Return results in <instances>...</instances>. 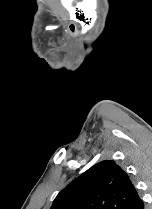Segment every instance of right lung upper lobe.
<instances>
[{"mask_svg": "<svg viewBox=\"0 0 152 209\" xmlns=\"http://www.w3.org/2000/svg\"><path fill=\"white\" fill-rule=\"evenodd\" d=\"M136 195L127 173L115 161L104 160L70 182L50 209H126Z\"/></svg>", "mask_w": 152, "mask_h": 209, "instance_id": "cb5924a9", "label": "right lung upper lobe"}]
</instances>
